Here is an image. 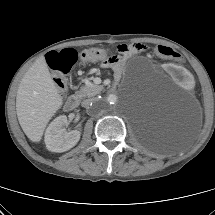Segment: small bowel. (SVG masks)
Returning a JSON list of instances; mask_svg holds the SVG:
<instances>
[{
    "instance_id": "c3829d8e",
    "label": "small bowel",
    "mask_w": 215,
    "mask_h": 215,
    "mask_svg": "<svg viewBox=\"0 0 215 215\" xmlns=\"http://www.w3.org/2000/svg\"><path fill=\"white\" fill-rule=\"evenodd\" d=\"M134 44L137 46L136 49H134L133 51H129L125 54H121V56H114L109 60H106L104 64L112 66L115 71V74L120 75V73L122 72L123 63L127 57L134 54L143 53L147 50V47L143 44H140V43H134Z\"/></svg>"
}]
</instances>
